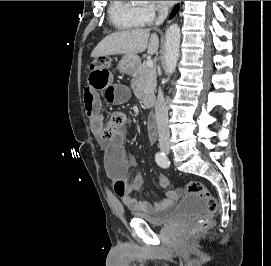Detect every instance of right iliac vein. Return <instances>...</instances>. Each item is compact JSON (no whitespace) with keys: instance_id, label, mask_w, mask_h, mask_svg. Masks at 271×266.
<instances>
[{"instance_id":"63e3f726","label":"right iliac vein","mask_w":271,"mask_h":266,"mask_svg":"<svg viewBox=\"0 0 271 266\" xmlns=\"http://www.w3.org/2000/svg\"><path fill=\"white\" fill-rule=\"evenodd\" d=\"M160 149L164 153H169V151H170V143L169 142H162L160 144Z\"/></svg>"}]
</instances>
